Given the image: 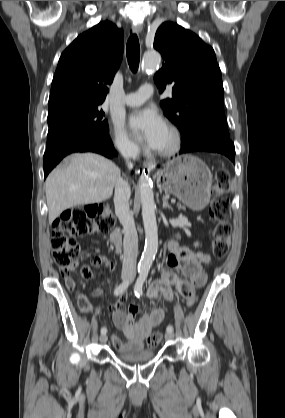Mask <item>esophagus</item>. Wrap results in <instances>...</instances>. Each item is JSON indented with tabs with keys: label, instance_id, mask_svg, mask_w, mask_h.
Wrapping results in <instances>:
<instances>
[{
	"label": "esophagus",
	"instance_id": "esophagus-1",
	"mask_svg": "<svg viewBox=\"0 0 285 418\" xmlns=\"http://www.w3.org/2000/svg\"><path fill=\"white\" fill-rule=\"evenodd\" d=\"M132 30H133L136 34H138V33H140V32L142 31V25H141L140 23H134V24L132 25ZM156 166H157V162H156V161H154V160L149 161V162H147V163H146V168H147L148 170H152V169H154Z\"/></svg>",
	"mask_w": 285,
	"mask_h": 418
}]
</instances>
